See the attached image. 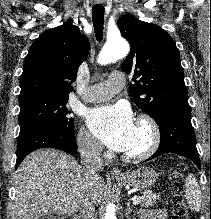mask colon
<instances>
[{
    "label": "colon",
    "instance_id": "1",
    "mask_svg": "<svg viewBox=\"0 0 211 219\" xmlns=\"http://www.w3.org/2000/svg\"><path fill=\"white\" fill-rule=\"evenodd\" d=\"M186 166H181L179 170L173 172L169 178V184L173 191L172 203L173 212L171 219H190L189 212L182 199V191L185 185ZM42 219H70L64 216L52 215Z\"/></svg>",
    "mask_w": 211,
    "mask_h": 219
}]
</instances>
